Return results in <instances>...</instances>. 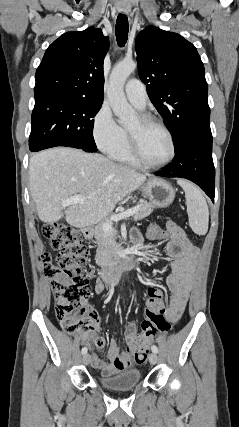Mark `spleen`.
<instances>
[{"mask_svg":"<svg viewBox=\"0 0 239 427\" xmlns=\"http://www.w3.org/2000/svg\"><path fill=\"white\" fill-rule=\"evenodd\" d=\"M183 188L186 198L189 224L194 233L205 235L208 231L209 210L202 192L192 183L186 180H178Z\"/></svg>","mask_w":239,"mask_h":427,"instance_id":"spleen-1","label":"spleen"}]
</instances>
